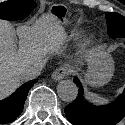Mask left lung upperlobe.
<instances>
[{"mask_svg":"<svg viewBox=\"0 0 125 125\" xmlns=\"http://www.w3.org/2000/svg\"><path fill=\"white\" fill-rule=\"evenodd\" d=\"M105 16L107 22L108 35L111 38H125V17L118 13L110 12H107Z\"/></svg>","mask_w":125,"mask_h":125,"instance_id":"obj_1","label":"left lung upper lobe"}]
</instances>
